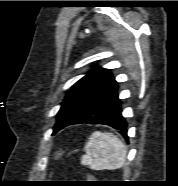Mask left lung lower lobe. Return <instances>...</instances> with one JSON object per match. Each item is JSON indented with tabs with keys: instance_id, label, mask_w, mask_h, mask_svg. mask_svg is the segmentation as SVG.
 Segmentation results:
<instances>
[{
	"instance_id": "1",
	"label": "left lung lower lobe",
	"mask_w": 178,
	"mask_h": 186,
	"mask_svg": "<svg viewBox=\"0 0 178 186\" xmlns=\"http://www.w3.org/2000/svg\"><path fill=\"white\" fill-rule=\"evenodd\" d=\"M82 123L111 126L117 129L125 139H128L127 124L122 116L121 100L117 93L84 111L68 125Z\"/></svg>"
}]
</instances>
